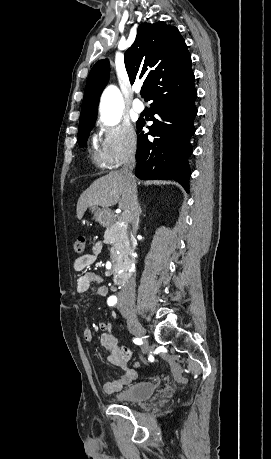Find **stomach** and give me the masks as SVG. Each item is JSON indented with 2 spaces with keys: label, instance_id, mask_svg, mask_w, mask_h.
<instances>
[{
  "label": "stomach",
  "instance_id": "1",
  "mask_svg": "<svg viewBox=\"0 0 271 459\" xmlns=\"http://www.w3.org/2000/svg\"><path fill=\"white\" fill-rule=\"evenodd\" d=\"M90 212H93L96 222H101V224H111L113 222V214L110 210L106 208H97V206H89Z\"/></svg>",
  "mask_w": 271,
  "mask_h": 459
}]
</instances>
